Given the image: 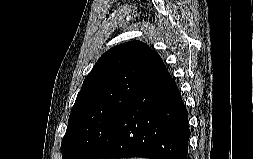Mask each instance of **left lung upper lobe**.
Wrapping results in <instances>:
<instances>
[{
    "label": "left lung upper lobe",
    "mask_w": 253,
    "mask_h": 159,
    "mask_svg": "<svg viewBox=\"0 0 253 159\" xmlns=\"http://www.w3.org/2000/svg\"><path fill=\"white\" fill-rule=\"evenodd\" d=\"M165 70L160 56L140 41L105 52L86 76L71 109L62 159H94L123 109Z\"/></svg>",
    "instance_id": "left-lung-upper-lobe-1"
}]
</instances>
